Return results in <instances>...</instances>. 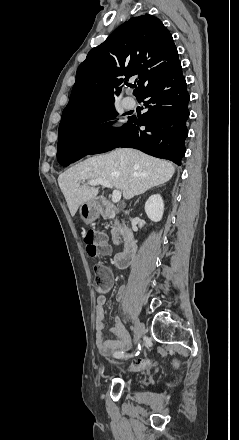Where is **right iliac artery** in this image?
Listing matches in <instances>:
<instances>
[{"instance_id":"1","label":"right iliac artery","mask_w":239,"mask_h":440,"mask_svg":"<svg viewBox=\"0 0 239 440\" xmlns=\"http://www.w3.org/2000/svg\"><path fill=\"white\" fill-rule=\"evenodd\" d=\"M138 354H139V352H137L135 355L137 356ZM123 356H124L123 352H119V353L114 354V357H116V358H121ZM131 356H133V355H131Z\"/></svg>"}]
</instances>
